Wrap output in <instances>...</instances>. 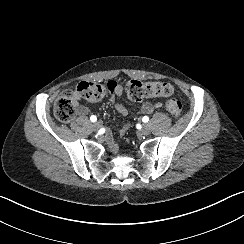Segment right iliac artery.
<instances>
[{"label": "right iliac artery", "mask_w": 244, "mask_h": 244, "mask_svg": "<svg viewBox=\"0 0 244 244\" xmlns=\"http://www.w3.org/2000/svg\"><path fill=\"white\" fill-rule=\"evenodd\" d=\"M90 120H91L92 122H95V121L97 120V118H96V116L92 115V116L90 117Z\"/></svg>", "instance_id": "1"}]
</instances>
